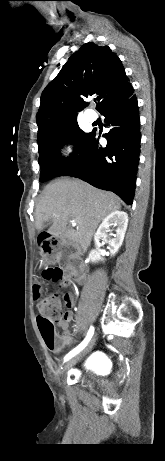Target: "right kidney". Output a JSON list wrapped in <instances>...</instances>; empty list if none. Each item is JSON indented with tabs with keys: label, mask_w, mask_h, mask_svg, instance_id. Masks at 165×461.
I'll return each instance as SVG.
<instances>
[{
	"label": "right kidney",
	"mask_w": 165,
	"mask_h": 461,
	"mask_svg": "<svg viewBox=\"0 0 165 461\" xmlns=\"http://www.w3.org/2000/svg\"><path fill=\"white\" fill-rule=\"evenodd\" d=\"M128 224V215L126 212L123 211H114L111 212L101 223L99 226L96 234H95V242L98 243L100 239L105 240L108 242L110 246V253L114 255L118 252L119 248L122 245L124 240L125 232L127 229ZM116 226V234L114 238L109 239L107 241V232H110V226ZM107 252L105 250L96 249L90 253V259L92 262L96 263L98 261H102V256L106 255Z\"/></svg>",
	"instance_id": "ca27d5eb"
}]
</instances>
